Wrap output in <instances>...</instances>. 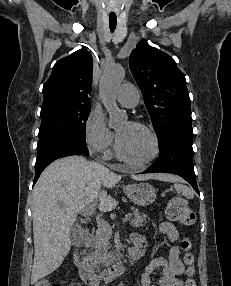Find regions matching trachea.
<instances>
[{"instance_id":"3493384b","label":"trachea","mask_w":231,"mask_h":286,"mask_svg":"<svg viewBox=\"0 0 231 286\" xmlns=\"http://www.w3.org/2000/svg\"><path fill=\"white\" fill-rule=\"evenodd\" d=\"M117 25V16L115 14L109 15V27L111 32H114Z\"/></svg>"}]
</instances>
